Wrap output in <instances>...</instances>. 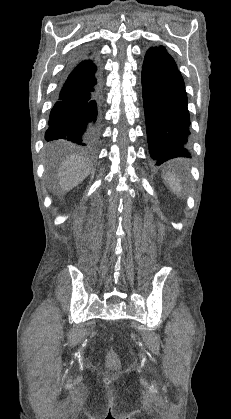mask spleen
I'll use <instances>...</instances> for the list:
<instances>
[{
  "instance_id": "3e777b00",
  "label": "spleen",
  "mask_w": 231,
  "mask_h": 419,
  "mask_svg": "<svg viewBox=\"0 0 231 419\" xmlns=\"http://www.w3.org/2000/svg\"><path fill=\"white\" fill-rule=\"evenodd\" d=\"M167 185L169 186L170 190L176 194L179 195L182 190V185L180 183L179 178L172 173H166L163 175Z\"/></svg>"
}]
</instances>
